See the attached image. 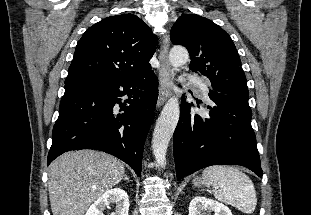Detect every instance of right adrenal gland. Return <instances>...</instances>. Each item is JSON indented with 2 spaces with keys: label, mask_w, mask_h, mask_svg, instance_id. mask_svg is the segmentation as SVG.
Returning <instances> with one entry per match:
<instances>
[{
  "label": "right adrenal gland",
  "mask_w": 311,
  "mask_h": 215,
  "mask_svg": "<svg viewBox=\"0 0 311 215\" xmlns=\"http://www.w3.org/2000/svg\"><path fill=\"white\" fill-rule=\"evenodd\" d=\"M124 181L130 182L129 177L127 175H125Z\"/></svg>",
  "instance_id": "obj_1"
}]
</instances>
